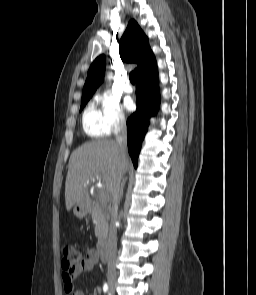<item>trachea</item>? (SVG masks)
Here are the masks:
<instances>
[{
    "label": "trachea",
    "mask_w": 256,
    "mask_h": 295,
    "mask_svg": "<svg viewBox=\"0 0 256 295\" xmlns=\"http://www.w3.org/2000/svg\"><path fill=\"white\" fill-rule=\"evenodd\" d=\"M129 79L132 84H135V73L134 72H131L129 74Z\"/></svg>",
    "instance_id": "obj_1"
}]
</instances>
